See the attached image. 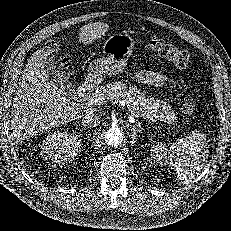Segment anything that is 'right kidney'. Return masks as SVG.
<instances>
[{
  "label": "right kidney",
  "instance_id": "1",
  "mask_svg": "<svg viewBox=\"0 0 231 231\" xmlns=\"http://www.w3.org/2000/svg\"><path fill=\"white\" fill-rule=\"evenodd\" d=\"M80 146L77 135L55 131L46 137L42 150L54 163L66 164L80 152Z\"/></svg>",
  "mask_w": 231,
  "mask_h": 231
}]
</instances>
